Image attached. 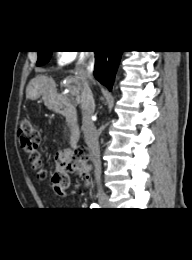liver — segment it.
Wrapping results in <instances>:
<instances>
[{
    "label": "liver",
    "mask_w": 192,
    "mask_h": 260,
    "mask_svg": "<svg viewBox=\"0 0 192 260\" xmlns=\"http://www.w3.org/2000/svg\"><path fill=\"white\" fill-rule=\"evenodd\" d=\"M69 89H75L77 94L81 92V85L78 76L70 77L68 83ZM33 88L35 89L33 91ZM43 94V99L48 101L57 96L56 84L52 78L47 76H36L32 79L27 87L26 96L31 100H35Z\"/></svg>",
    "instance_id": "1"
}]
</instances>
